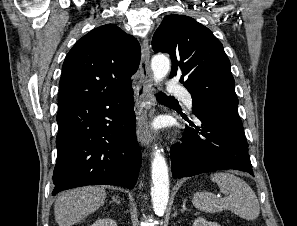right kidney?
Here are the masks:
<instances>
[{
	"label": "right kidney",
	"instance_id": "ca27d5eb",
	"mask_svg": "<svg viewBox=\"0 0 297 226\" xmlns=\"http://www.w3.org/2000/svg\"><path fill=\"white\" fill-rule=\"evenodd\" d=\"M91 226H117L115 221L109 218L98 219Z\"/></svg>",
	"mask_w": 297,
	"mask_h": 226
}]
</instances>
